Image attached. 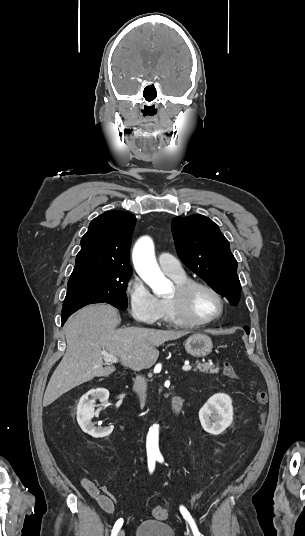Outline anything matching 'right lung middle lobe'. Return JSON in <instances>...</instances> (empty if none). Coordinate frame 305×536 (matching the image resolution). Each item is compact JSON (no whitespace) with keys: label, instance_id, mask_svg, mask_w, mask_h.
Instances as JSON below:
<instances>
[{"label":"right lung middle lobe","instance_id":"1","mask_svg":"<svg viewBox=\"0 0 305 536\" xmlns=\"http://www.w3.org/2000/svg\"><path fill=\"white\" fill-rule=\"evenodd\" d=\"M132 272L92 273L70 277L63 307L106 302L127 308L126 288Z\"/></svg>","mask_w":305,"mask_h":536}]
</instances>
